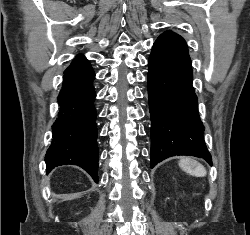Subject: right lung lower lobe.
I'll list each match as a JSON object with an SVG mask.
<instances>
[{
  "label": "right lung lower lobe",
  "instance_id": "right-lung-lower-lobe-1",
  "mask_svg": "<svg viewBox=\"0 0 250 235\" xmlns=\"http://www.w3.org/2000/svg\"><path fill=\"white\" fill-rule=\"evenodd\" d=\"M95 73L84 55H77L64 72L57 98L60 110L53 124V141L47 150V171L61 165H79L98 181V146L92 86Z\"/></svg>",
  "mask_w": 250,
  "mask_h": 235
}]
</instances>
